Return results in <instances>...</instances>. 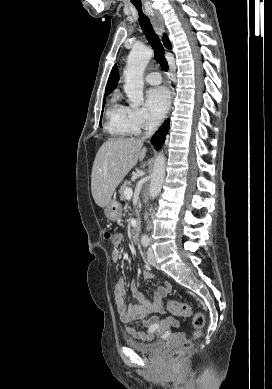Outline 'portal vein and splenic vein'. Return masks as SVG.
<instances>
[{"label": "portal vein and splenic vein", "mask_w": 272, "mask_h": 389, "mask_svg": "<svg viewBox=\"0 0 272 389\" xmlns=\"http://www.w3.org/2000/svg\"><path fill=\"white\" fill-rule=\"evenodd\" d=\"M124 193H125L126 197H132L133 189L132 188H126Z\"/></svg>", "instance_id": "portal-vein-and-splenic-vein-1"}]
</instances>
